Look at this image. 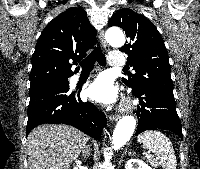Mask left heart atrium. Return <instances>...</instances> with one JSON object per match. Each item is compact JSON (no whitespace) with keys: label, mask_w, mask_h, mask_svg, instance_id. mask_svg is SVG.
Here are the masks:
<instances>
[{"label":"left heart atrium","mask_w":200,"mask_h":169,"mask_svg":"<svg viewBox=\"0 0 200 169\" xmlns=\"http://www.w3.org/2000/svg\"><path fill=\"white\" fill-rule=\"evenodd\" d=\"M87 95L98 103L113 104L117 100L118 90L108 77L100 76L90 85Z\"/></svg>","instance_id":"1"}]
</instances>
